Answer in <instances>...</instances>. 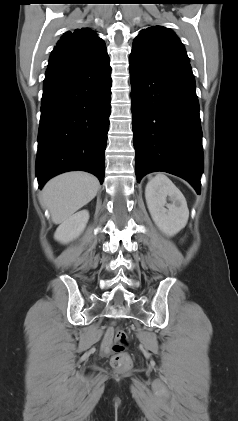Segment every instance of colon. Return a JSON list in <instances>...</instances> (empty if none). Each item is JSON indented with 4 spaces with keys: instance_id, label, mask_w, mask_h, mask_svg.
<instances>
[{
    "instance_id": "1",
    "label": "colon",
    "mask_w": 238,
    "mask_h": 421,
    "mask_svg": "<svg viewBox=\"0 0 238 421\" xmlns=\"http://www.w3.org/2000/svg\"><path fill=\"white\" fill-rule=\"evenodd\" d=\"M112 342L113 355L111 366L118 371L127 370L131 366V358L126 352L129 341L126 332L119 327H112L108 330Z\"/></svg>"
}]
</instances>
